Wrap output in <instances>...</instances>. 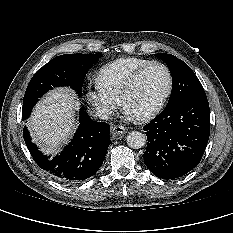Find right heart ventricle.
I'll list each match as a JSON object with an SVG mask.
<instances>
[{"mask_svg": "<svg viewBox=\"0 0 233 233\" xmlns=\"http://www.w3.org/2000/svg\"><path fill=\"white\" fill-rule=\"evenodd\" d=\"M150 62L152 61L137 57L116 59L99 69L97 81L106 91L119 98L125 84L134 72Z\"/></svg>", "mask_w": 233, "mask_h": 233, "instance_id": "obj_1", "label": "right heart ventricle"}]
</instances>
